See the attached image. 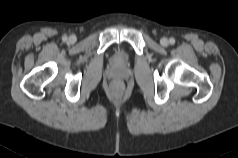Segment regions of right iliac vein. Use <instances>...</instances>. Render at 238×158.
<instances>
[{
	"instance_id": "right-iliac-vein-1",
	"label": "right iliac vein",
	"mask_w": 238,
	"mask_h": 158,
	"mask_svg": "<svg viewBox=\"0 0 238 158\" xmlns=\"http://www.w3.org/2000/svg\"><path fill=\"white\" fill-rule=\"evenodd\" d=\"M70 42H74L75 41V37L71 36L69 39Z\"/></svg>"
}]
</instances>
